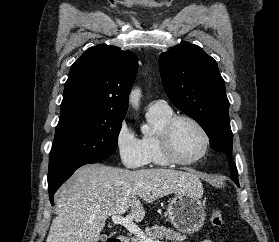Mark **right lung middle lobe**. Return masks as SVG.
I'll return each instance as SVG.
<instances>
[{
	"instance_id": "dd1d6c3e",
	"label": "right lung middle lobe",
	"mask_w": 279,
	"mask_h": 242,
	"mask_svg": "<svg viewBox=\"0 0 279 242\" xmlns=\"http://www.w3.org/2000/svg\"><path fill=\"white\" fill-rule=\"evenodd\" d=\"M123 119L91 115L80 110L61 114L51 150L48 178L81 159L114 154Z\"/></svg>"
}]
</instances>
